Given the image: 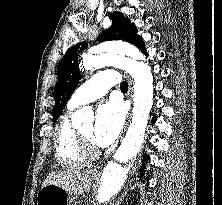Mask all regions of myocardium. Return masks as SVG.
I'll return each instance as SVG.
<instances>
[{
	"label": "myocardium",
	"instance_id": "obj_1",
	"mask_svg": "<svg viewBox=\"0 0 222 205\" xmlns=\"http://www.w3.org/2000/svg\"><path fill=\"white\" fill-rule=\"evenodd\" d=\"M76 136L81 152L86 159L91 160L99 156L100 151L91 139L85 137L79 130H76Z\"/></svg>",
	"mask_w": 222,
	"mask_h": 205
}]
</instances>
